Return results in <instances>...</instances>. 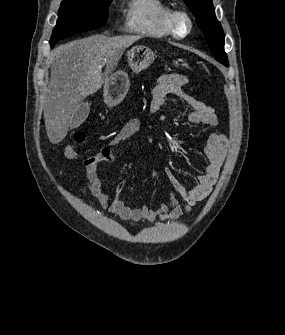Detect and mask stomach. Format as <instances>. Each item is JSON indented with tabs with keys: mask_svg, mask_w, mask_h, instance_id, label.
<instances>
[{
	"mask_svg": "<svg viewBox=\"0 0 285 335\" xmlns=\"http://www.w3.org/2000/svg\"><path fill=\"white\" fill-rule=\"evenodd\" d=\"M155 60V54L146 46H135L128 52V62L133 72L147 70ZM130 88L128 74L115 72L104 84V96L108 104H120Z\"/></svg>",
	"mask_w": 285,
	"mask_h": 335,
	"instance_id": "obj_1",
	"label": "stomach"
}]
</instances>
